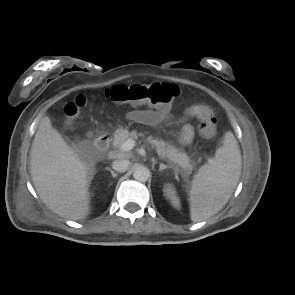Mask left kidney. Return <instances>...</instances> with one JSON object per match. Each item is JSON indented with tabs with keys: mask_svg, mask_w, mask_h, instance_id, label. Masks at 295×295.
I'll return each instance as SVG.
<instances>
[{
	"mask_svg": "<svg viewBox=\"0 0 295 295\" xmlns=\"http://www.w3.org/2000/svg\"><path fill=\"white\" fill-rule=\"evenodd\" d=\"M164 192H165V195L167 196L168 199H170L172 205L175 207V208H180V201H179V198L176 194V191H175V188L172 186V184H166L164 186Z\"/></svg>",
	"mask_w": 295,
	"mask_h": 295,
	"instance_id": "1",
	"label": "left kidney"
}]
</instances>
